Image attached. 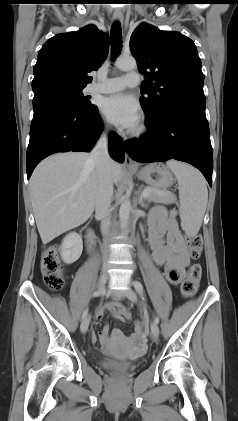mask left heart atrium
Here are the masks:
<instances>
[{"mask_svg": "<svg viewBox=\"0 0 238 421\" xmlns=\"http://www.w3.org/2000/svg\"><path fill=\"white\" fill-rule=\"evenodd\" d=\"M101 111L114 125L134 129L138 125L140 113L137 101L126 94H115L105 98Z\"/></svg>", "mask_w": 238, "mask_h": 421, "instance_id": "left-heart-atrium-1", "label": "left heart atrium"}]
</instances>
